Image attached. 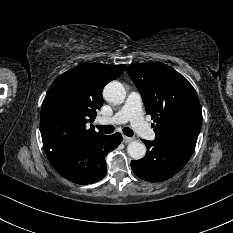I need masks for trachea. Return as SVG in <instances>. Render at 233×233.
Listing matches in <instances>:
<instances>
[{
	"label": "trachea",
	"mask_w": 233,
	"mask_h": 233,
	"mask_svg": "<svg viewBox=\"0 0 233 233\" xmlns=\"http://www.w3.org/2000/svg\"><path fill=\"white\" fill-rule=\"evenodd\" d=\"M97 128L104 134H111L115 130L113 125H99ZM123 133L129 137L134 135V132L129 127L123 128Z\"/></svg>",
	"instance_id": "trachea-1"
}]
</instances>
